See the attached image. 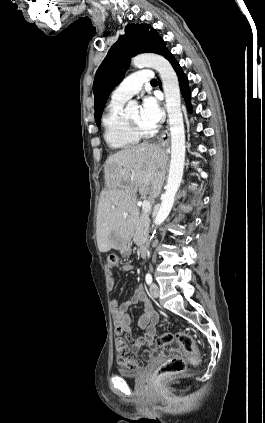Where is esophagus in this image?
I'll return each instance as SVG.
<instances>
[{
    "label": "esophagus",
    "mask_w": 265,
    "mask_h": 423,
    "mask_svg": "<svg viewBox=\"0 0 265 423\" xmlns=\"http://www.w3.org/2000/svg\"><path fill=\"white\" fill-rule=\"evenodd\" d=\"M170 141V134H169V129L167 128L158 138V142L165 146L169 143Z\"/></svg>",
    "instance_id": "obj_1"
}]
</instances>
